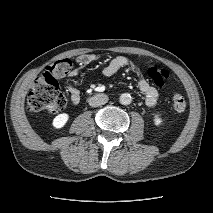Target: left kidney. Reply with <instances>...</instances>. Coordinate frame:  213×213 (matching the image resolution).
Listing matches in <instances>:
<instances>
[{
	"instance_id": "1",
	"label": "left kidney",
	"mask_w": 213,
	"mask_h": 213,
	"mask_svg": "<svg viewBox=\"0 0 213 213\" xmlns=\"http://www.w3.org/2000/svg\"><path fill=\"white\" fill-rule=\"evenodd\" d=\"M161 122H162L161 118L158 115H156L154 118L155 125H160Z\"/></svg>"
}]
</instances>
